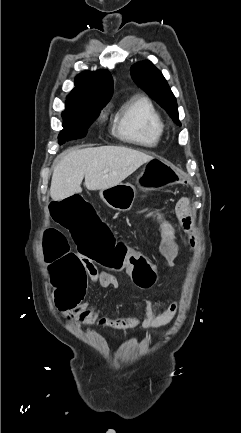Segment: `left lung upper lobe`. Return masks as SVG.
Returning a JSON list of instances; mask_svg holds the SVG:
<instances>
[{
  "label": "left lung upper lobe",
  "mask_w": 241,
  "mask_h": 433,
  "mask_svg": "<svg viewBox=\"0 0 241 433\" xmlns=\"http://www.w3.org/2000/svg\"><path fill=\"white\" fill-rule=\"evenodd\" d=\"M133 80L156 100L173 118L176 124H180L176 99L167 84L162 73L146 60L138 62L131 67Z\"/></svg>",
  "instance_id": "5c2ea615"
}]
</instances>
